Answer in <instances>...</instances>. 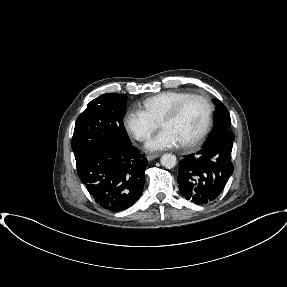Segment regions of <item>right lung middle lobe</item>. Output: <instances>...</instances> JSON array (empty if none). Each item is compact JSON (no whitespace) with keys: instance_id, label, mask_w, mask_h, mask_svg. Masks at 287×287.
Instances as JSON below:
<instances>
[{"instance_id":"dd1d6c3e","label":"right lung middle lobe","mask_w":287,"mask_h":287,"mask_svg":"<svg viewBox=\"0 0 287 287\" xmlns=\"http://www.w3.org/2000/svg\"><path fill=\"white\" fill-rule=\"evenodd\" d=\"M126 101L125 94H103L87 105L75 123L71 144L75 158L96 145H131L123 125Z\"/></svg>"}]
</instances>
